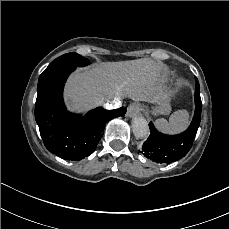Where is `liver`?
<instances>
[{"label": "liver", "instance_id": "1", "mask_svg": "<svg viewBox=\"0 0 229 229\" xmlns=\"http://www.w3.org/2000/svg\"><path fill=\"white\" fill-rule=\"evenodd\" d=\"M165 70L161 62L155 63L148 58L99 64L73 76L67 98L72 108L89 109L114 96H128L139 101L144 98L142 93L146 90L151 103L169 106L168 95L156 93Z\"/></svg>", "mask_w": 229, "mask_h": 229}]
</instances>
